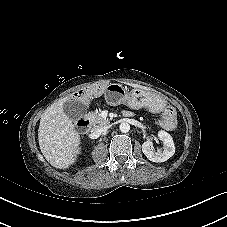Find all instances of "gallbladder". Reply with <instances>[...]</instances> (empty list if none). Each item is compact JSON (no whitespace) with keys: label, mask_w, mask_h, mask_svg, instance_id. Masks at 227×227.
<instances>
[{"label":"gallbladder","mask_w":227,"mask_h":227,"mask_svg":"<svg viewBox=\"0 0 227 227\" xmlns=\"http://www.w3.org/2000/svg\"><path fill=\"white\" fill-rule=\"evenodd\" d=\"M63 109L65 114L73 121L84 115L87 111L85 104L73 100L66 101Z\"/></svg>","instance_id":"1"}]
</instances>
